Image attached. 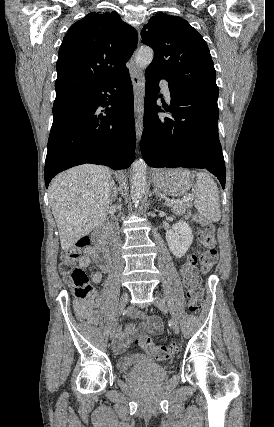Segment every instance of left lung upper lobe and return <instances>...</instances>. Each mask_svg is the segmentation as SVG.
<instances>
[{
	"instance_id": "left-lung-upper-lobe-1",
	"label": "left lung upper lobe",
	"mask_w": 274,
	"mask_h": 427,
	"mask_svg": "<svg viewBox=\"0 0 274 427\" xmlns=\"http://www.w3.org/2000/svg\"><path fill=\"white\" fill-rule=\"evenodd\" d=\"M141 36L142 42L154 50L147 70L158 73L177 87L218 97L208 46L186 20L157 13L143 27Z\"/></svg>"
}]
</instances>
